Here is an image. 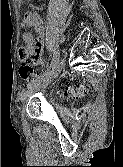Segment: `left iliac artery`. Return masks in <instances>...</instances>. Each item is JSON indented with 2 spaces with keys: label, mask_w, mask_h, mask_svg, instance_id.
I'll use <instances>...</instances> for the list:
<instances>
[{
  "label": "left iliac artery",
  "mask_w": 123,
  "mask_h": 167,
  "mask_svg": "<svg viewBox=\"0 0 123 167\" xmlns=\"http://www.w3.org/2000/svg\"><path fill=\"white\" fill-rule=\"evenodd\" d=\"M59 59H60V52H59V50H57L54 52L52 62L50 64V66L48 67V69L46 71H44L42 74L38 75L35 79L31 80L28 83L27 87L31 88L36 82H38L44 76H46L58 64Z\"/></svg>",
  "instance_id": "1"
}]
</instances>
